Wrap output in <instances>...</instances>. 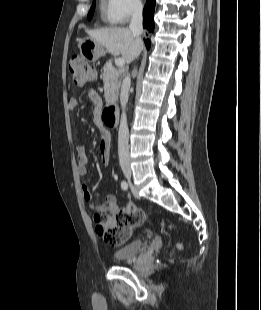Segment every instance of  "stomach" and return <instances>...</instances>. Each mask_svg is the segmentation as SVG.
<instances>
[{
	"label": "stomach",
	"instance_id": "obj_1",
	"mask_svg": "<svg viewBox=\"0 0 261 310\" xmlns=\"http://www.w3.org/2000/svg\"><path fill=\"white\" fill-rule=\"evenodd\" d=\"M79 48L81 55L89 62H95L104 53L101 44L93 38L83 39Z\"/></svg>",
	"mask_w": 261,
	"mask_h": 310
}]
</instances>
